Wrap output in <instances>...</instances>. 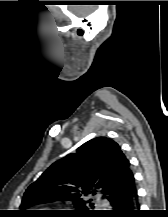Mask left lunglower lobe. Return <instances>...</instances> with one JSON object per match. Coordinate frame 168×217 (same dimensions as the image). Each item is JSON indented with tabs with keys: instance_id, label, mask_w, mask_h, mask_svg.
<instances>
[{
	"instance_id": "0a47b994",
	"label": "left lung lower lobe",
	"mask_w": 168,
	"mask_h": 217,
	"mask_svg": "<svg viewBox=\"0 0 168 217\" xmlns=\"http://www.w3.org/2000/svg\"><path fill=\"white\" fill-rule=\"evenodd\" d=\"M113 210L103 212V215L113 217H138V196L134 176L119 190L107 197Z\"/></svg>"
}]
</instances>
